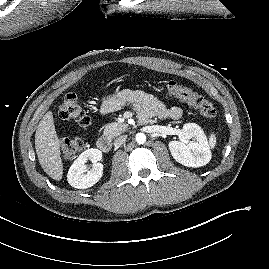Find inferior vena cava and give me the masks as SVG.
Here are the masks:
<instances>
[{
  "instance_id": "1",
  "label": "inferior vena cava",
  "mask_w": 269,
  "mask_h": 269,
  "mask_svg": "<svg viewBox=\"0 0 269 269\" xmlns=\"http://www.w3.org/2000/svg\"><path fill=\"white\" fill-rule=\"evenodd\" d=\"M126 138H127L126 135L118 137L114 142V146L119 147L120 145H122L125 142Z\"/></svg>"
}]
</instances>
